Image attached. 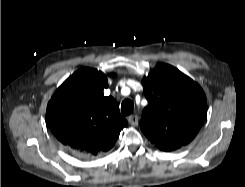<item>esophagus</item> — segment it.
Here are the masks:
<instances>
[{
	"instance_id": "1",
	"label": "esophagus",
	"mask_w": 245,
	"mask_h": 187,
	"mask_svg": "<svg viewBox=\"0 0 245 187\" xmlns=\"http://www.w3.org/2000/svg\"><path fill=\"white\" fill-rule=\"evenodd\" d=\"M128 121H129V123L131 124V125H133V126H137L138 125V116L137 115H130L129 117H128Z\"/></svg>"
}]
</instances>
